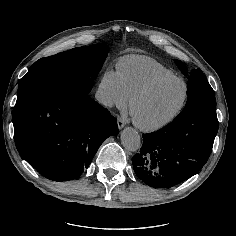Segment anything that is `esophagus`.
Masks as SVG:
<instances>
[{"label": "esophagus", "instance_id": "obj_1", "mask_svg": "<svg viewBox=\"0 0 236 236\" xmlns=\"http://www.w3.org/2000/svg\"><path fill=\"white\" fill-rule=\"evenodd\" d=\"M125 124H126L125 121L121 117L117 118V125L119 129H122L125 126Z\"/></svg>", "mask_w": 236, "mask_h": 236}]
</instances>
